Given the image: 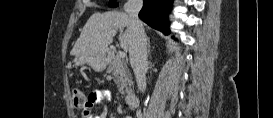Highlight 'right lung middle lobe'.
<instances>
[{"instance_id":"right-lung-middle-lobe-1","label":"right lung middle lobe","mask_w":273,"mask_h":118,"mask_svg":"<svg viewBox=\"0 0 273 118\" xmlns=\"http://www.w3.org/2000/svg\"><path fill=\"white\" fill-rule=\"evenodd\" d=\"M118 5H119V3L116 2V0H110V2H109L110 7H117Z\"/></svg>"}]
</instances>
